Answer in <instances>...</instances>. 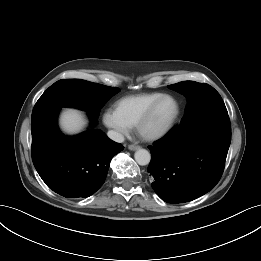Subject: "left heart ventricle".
I'll use <instances>...</instances> for the list:
<instances>
[{"instance_id":"1","label":"left heart ventricle","mask_w":261,"mask_h":261,"mask_svg":"<svg viewBox=\"0 0 261 261\" xmlns=\"http://www.w3.org/2000/svg\"><path fill=\"white\" fill-rule=\"evenodd\" d=\"M174 112V103L166 99L164 100L157 108L154 116L151 121L148 123L146 130L154 131L160 128L165 124V122L169 119V117Z\"/></svg>"}]
</instances>
